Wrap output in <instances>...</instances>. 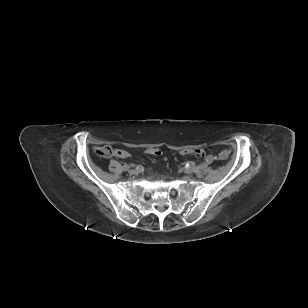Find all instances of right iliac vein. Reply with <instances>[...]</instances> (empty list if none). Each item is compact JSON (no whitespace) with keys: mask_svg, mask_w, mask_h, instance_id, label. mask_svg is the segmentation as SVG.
I'll return each mask as SVG.
<instances>
[{"mask_svg":"<svg viewBox=\"0 0 308 308\" xmlns=\"http://www.w3.org/2000/svg\"><path fill=\"white\" fill-rule=\"evenodd\" d=\"M129 173H130L131 175L137 174V170H136V169H130V170H129Z\"/></svg>","mask_w":308,"mask_h":308,"instance_id":"obj_1","label":"right iliac vein"}]
</instances>
